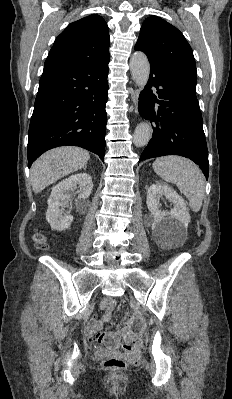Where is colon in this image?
Here are the masks:
<instances>
[{
  "label": "colon",
  "mask_w": 232,
  "mask_h": 399,
  "mask_svg": "<svg viewBox=\"0 0 232 399\" xmlns=\"http://www.w3.org/2000/svg\"><path fill=\"white\" fill-rule=\"evenodd\" d=\"M37 251L44 252L48 248V241L42 232L33 236ZM144 329L142 313H129L123 330H115L114 326H106L105 330H95L97 353H139L136 337H142ZM127 365L125 355H106L102 358L101 368H122Z\"/></svg>",
  "instance_id": "colon-1"
}]
</instances>
